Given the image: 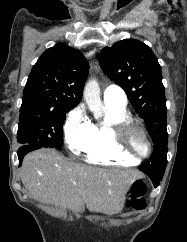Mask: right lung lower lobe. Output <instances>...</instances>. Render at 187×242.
I'll return each mask as SVG.
<instances>
[{"label": "right lung lower lobe", "mask_w": 187, "mask_h": 242, "mask_svg": "<svg viewBox=\"0 0 187 242\" xmlns=\"http://www.w3.org/2000/svg\"><path fill=\"white\" fill-rule=\"evenodd\" d=\"M42 148L41 146H36V145H23L19 148L17 154H18V159H19V162H20V165L22 163V160H23V157L33 151V150H37V149H40Z\"/></svg>", "instance_id": "98d812e1"}]
</instances>
